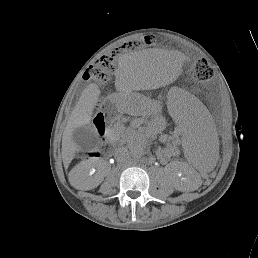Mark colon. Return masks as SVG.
Masks as SVG:
<instances>
[{"instance_id":"1","label":"colon","mask_w":258,"mask_h":258,"mask_svg":"<svg viewBox=\"0 0 258 258\" xmlns=\"http://www.w3.org/2000/svg\"><path fill=\"white\" fill-rule=\"evenodd\" d=\"M155 37L147 35L140 39H133L123 45L113 48L109 53L101 55L84 73L85 79L103 83L106 82L114 70L117 57L124 51L136 50L141 47L154 45ZM213 75L210 65L203 60L198 61L192 68V77L198 82H205Z\"/></svg>"}]
</instances>
